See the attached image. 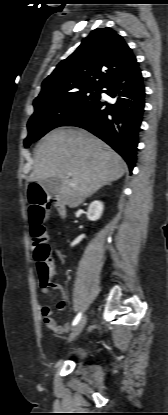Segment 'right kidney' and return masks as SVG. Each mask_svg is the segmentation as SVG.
Wrapping results in <instances>:
<instances>
[{"label":"right kidney","instance_id":"1","mask_svg":"<svg viewBox=\"0 0 168 415\" xmlns=\"http://www.w3.org/2000/svg\"><path fill=\"white\" fill-rule=\"evenodd\" d=\"M103 212V204L100 201H94L90 204L88 211H87V218L91 221H96L100 218ZM85 237L84 234L78 236L73 242L72 246L78 244L82 239Z\"/></svg>","mask_w":168,"mask_h":415}]
</instances>
